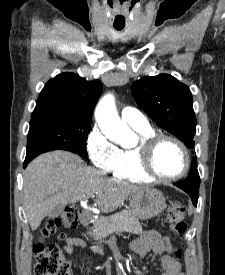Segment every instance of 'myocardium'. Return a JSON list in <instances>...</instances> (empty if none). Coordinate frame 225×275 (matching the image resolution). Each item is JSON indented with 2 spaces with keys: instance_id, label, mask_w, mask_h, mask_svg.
<instances>
[{
  "instance_id": "1",
  "label": "myocardium",
  "mask_w": 225,
  "mask_h": 275,
  "mask_svg": "<svg viewBox=\"0 0 225 275\" xmlns=\"http://www.w3.org/2000/svg\"><path fill=\"white\" fill-rule=\"evenodd\" d=\"M164 141L175 143L182 151L184 157V165L182 170L178 174L164 176L159 174L154 167V154L159 145ZM136 150L139 157L140 170L152 180L173 181L185 176L190 168L189 151L186 145L177 137L167 134H152L150 136L141 138L139 145L136 147Z\"/></svg>"
}]
</instances>
